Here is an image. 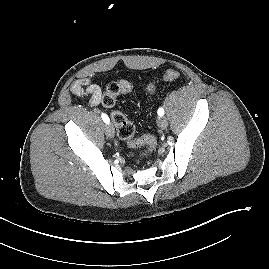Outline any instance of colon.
<instances>
[{
  "label": "colon",
  "mask_w": 269,
  "mask_h": 269,
  "mask_svg": "<svg viewBox=\"0 0 269 269\" xmlns=\"http://www.w3.org/2000/svg\"><path fill=\"white\" fill-rule=\"evenodd\" d=\"M180 77L178 71L170 69L164 72L163 80L165 81H175ZM131 85L127 81H114L107 85L106 90L102 96L101 103L106 108H112L117 101L120 94L129 91ZM150 92L155 90V85L151 84L148 87ZM111 119L116 126L118 136L127 142L130 147L147 146L151 150L155 146V138L153 136H143L140 138H134L135 127L133 123L121 112H113L111 114ZM134 159L140 162L142 159L141 155H134Z\"/></svg>",
  "instance_id": "1"
}]
</instances>
